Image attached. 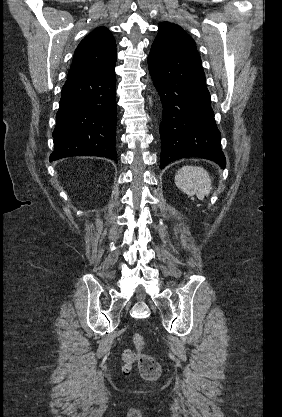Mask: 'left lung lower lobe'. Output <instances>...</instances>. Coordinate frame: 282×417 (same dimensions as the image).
I'll return each mask as SVG.
<instances>
[{
  "label": "left lung lower lobe",
  "instance_id": "0a47b994",
  "mask_svg": "<svg viewBox=\"0 0 282 417\" xmlns=\"http://www.w3.org/2000/svg\"><path fill=\"white\" fill-rule=\"evenodd\" d=\"M148 67L163 106L160 168L189 157L209 159L225 168L197 50L152 44Z\"/></svg>",
  "mask_w": 282,
  "mask_h": 417
}]
</instances>
